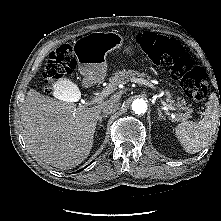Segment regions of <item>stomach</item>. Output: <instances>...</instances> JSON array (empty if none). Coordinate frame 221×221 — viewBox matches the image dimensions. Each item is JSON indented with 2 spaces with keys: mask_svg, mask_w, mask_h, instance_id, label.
Returning <instances> with one entry per match:
<instances>
[{
  "mask_svg": "<svg viewBox=\"0 0 221 221\" xmlns=\"http://www.w3.org/2000/svg\"><path fill=\"white\" fill-rule=\"evenodd\" d=\"M123 38L116 32H95L78 41V70L86 81L99 82L107 71V53L120 48ZM172 99L168 96L167 101Z\"/></svg>",
  "mask_w": 221,
  "mask_h": 221,
  "instance_id": "1",
  "label": "stomach"
}]
</instances>
